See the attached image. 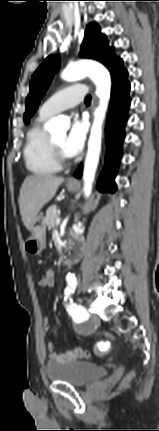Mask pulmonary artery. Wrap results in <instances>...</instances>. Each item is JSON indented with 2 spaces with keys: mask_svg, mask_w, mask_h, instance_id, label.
I'll use <instances>...</instances> for the list:
<instances>
[{
  "mask_svg": "<svg viewBox=\"0 0 159 431\" xmlns=\"http://www.w3.org/2000/svg\"><path fill=\"white\" fill-rule=\"evenodd\" d=\"M86 94L87 87L84 84L69 85L49 97L40 107V114L50 117L73 108L84 100Z\"/></svg>",
  "mask_w": 159,
  "mask_h": 431,
  "instance_id": "pulmonary-artery-1",
  "label": "pulmonary artery"
}]
</instances>
